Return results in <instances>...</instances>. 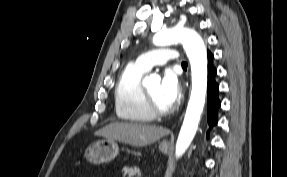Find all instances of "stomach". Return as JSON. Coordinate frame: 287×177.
<instances>
[{"label":"stomach","mask_w":287,"mask_h":177,"mask_svg":"<svg viewBox=\"0 0 287 177\" xmlns=\"http://www.w3.org/2000/svg\"><path fill=\"white\" fill-rule=\"evenodd\" d=\"M170 146L167 142L159 144V150L167 153ZM119 153L118 144L114 140H100L91 144L85 152L86 159L93 164H100L113 160Z\"/></svg>","instance_id":"0dacf381"}]
</instances>
